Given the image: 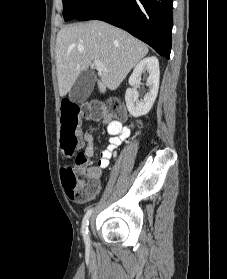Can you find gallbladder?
Instances as JSON below:
<instances>
[{
	"label": "gallbladder",
	"instance_id": "1",
	"mask_svg": "<svg viewBox=\"0 0 227 279\" xmlns=\"http://www.w3.org/2000/svg\"><path fill=\"white\" fill-rule=\"evenodd\" d=\"M96 76L93 72L85 70L76 79L70 92L69 99L74 103L84 102L91 94Z\"/></svg>",
	"mask_w": 227,
	"mask_h": 279
}]
</instances>
